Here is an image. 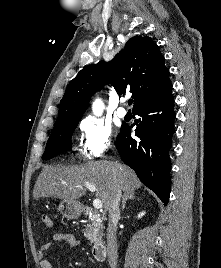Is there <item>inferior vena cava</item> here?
<instances>
[{"label":"inferior vena cava","instance_id":"1","mask_svg":"<svg viewBox=\"0 0 221 268\" xmlns=\"http://www.w3.org/2000/svg\"><path fill=\"white\" fill-rule=\"evenodd\" d=\"M121 188L119 185H114L109 205V223L107 228V254H108V263L110 268H116L117 266V223L120 217V199H121Z\"/></svg>","mask_w":221,"mask_h":268}]
</instances>
